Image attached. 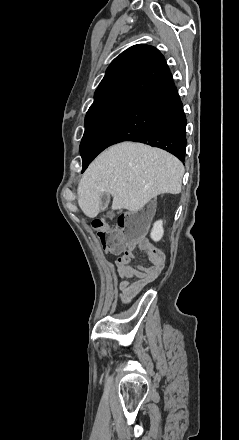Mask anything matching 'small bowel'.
Here are the masks:
<instances>
[{"label": "small bowel", "mask_w": 239, "mask_h": 440, "mask_svg": "<svg viewBox=\"0 0 239 440\" xmlns=\"http://www.w3.org/2000/svg\"><path fill=\"white\" fill-rule=\"evenodd\" d=\"M136 248L149 258V266L134 265ZM164 265L165 258L162 252L148 243L132 244L123 250L117 258L118 274L122 279L119 283L122 300L129 301L134 298L159 276Z\"/></svg>", "instance_id": "obj_1"}]
</instances>
